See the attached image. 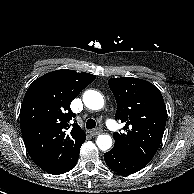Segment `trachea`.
Listing matches in <instances>:
<instances>
[{
  "label": "trachea",
  "instance_id": "obj_1",
  "mask_svg": "<svg viewBox=\"0 0 194 194\" xmlns=\"http://www.w3.org/2000/svg\"><path fill=\"white\" fill-rule=\"evenodd\" d=\"M95 126H96V122H95V120L94 119H88L87 120V122H86V128L87 129H93V128H95Z\"/></svg>",
  "mask_w": 194,
  "mask_h": 194
}]
</instances>
